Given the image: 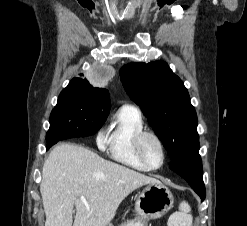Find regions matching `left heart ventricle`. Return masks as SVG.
Instances as JSON below:
<instances>
[{
  "label": "left heart ventricle",
  "instance_id": "1",
  "mask_svg": "<svg viewBox=\"0 0 247 226\" xmlns=\"http://www.w3.org/2000/svg\"><path fill=\"white\" fill-rule=\"evenodd\" d=\"M142 149L147 161L151 165L158 166L161 163L162 153L155 139L146 137L143 141Z\"/></svg>",
  "mask_w": 247,
  "mask_h": 226
}]
</instances>
